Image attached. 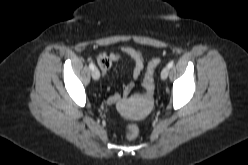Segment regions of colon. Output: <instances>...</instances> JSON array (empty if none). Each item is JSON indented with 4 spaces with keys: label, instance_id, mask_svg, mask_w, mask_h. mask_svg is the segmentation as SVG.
Returning <instances> with one entry per match:
<instances>
[{
    "label": "colon",
    "instance_id": "1",
    "mask_svg": "<svg viewBox=\"0 0 248 165\" xmlns=\"http://www.w3.org/2000/svg\"><path fill=\"white\" fill-rule=\"evenodd\" d=\"M160 59L159 58H153L150 60L147 66V70L142 82V88L143 92L147 97H151L154 92V73L155 70L158 68L160 65ZM124 134L125 137L129 140H134L138 137L139 135V129L136 125L134 124H129L126 125L124 128Z\"/></svg>",
    "mask_w": 248,
    "mask_h": 165
}]
</instances>
